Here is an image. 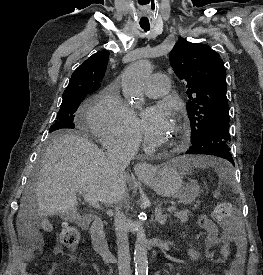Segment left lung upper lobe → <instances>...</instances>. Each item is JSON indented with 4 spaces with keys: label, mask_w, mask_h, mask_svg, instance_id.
I'll return each instance as SVG.
<instances>
[{
    "label": "left lung upper lobe",
    "mask_w": 263,
    "mask_h": 275,
    "mask_svg": "<svg viewBox=\"0 0 263 275\" xmlns=\"http://www.w3.org/2000/svg\"><path fill=\"white\" fill-rule=\"evenodd\" d=\"M171 66L186 86L191 141L218 122L230 121L226 70L219 54L208 45L180 39L170 53Z\"/></svg>",
    "instance_id": "obj_1"
}]
</instances>
